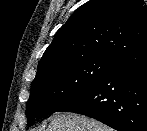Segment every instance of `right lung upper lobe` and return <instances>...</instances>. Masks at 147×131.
<instances>
[{
    "mask_svg": "<svg viewBox=\"0 0 147 131\" xmlns=\"http://www.w3.org/2000/svg\"><path fill=\"white\" fill-rule=\"evenodd\" d=\"M146 43L144 0H90L57 31L37 74L89 57L118 61Z\"/></svg>",
    "mask_w": 147,
    "mask_h": 131,
    "instance_id": "1",
    "label": "right lung upper lobe"
}]
</instances>
